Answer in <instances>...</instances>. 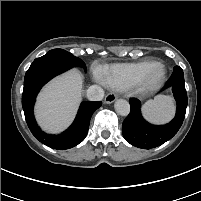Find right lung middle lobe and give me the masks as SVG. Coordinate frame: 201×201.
<instances>
[{"label": "right lung middle lobe", "mask_w": 201, "mask_h": 201, "mask_svg": "<svg viewBox=\"0 0 201 201\" xmlns=\"http://www.w3.org/2000/svg\"><path fill=\"white\" fill-rule=\"evenodd\" d=\"M49 53L61 54L64 57H66L67 59H69L72 63H74L75 66L83 67L84 70L86 71V65L81 59L75 57L74 55H72L71 53H69L63 49H53V50L49 51Z\"/></svg>", "instance_id": "dd1d6c3e"}]
</instances>
